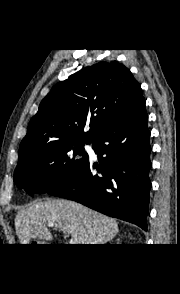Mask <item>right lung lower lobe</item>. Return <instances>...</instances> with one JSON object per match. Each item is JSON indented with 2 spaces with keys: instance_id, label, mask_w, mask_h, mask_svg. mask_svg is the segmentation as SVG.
Masks as SVG:
<instances>
[{
  "instance_id": "right-lung-lower-lobe-1",
  "label": "right lung lower lobe",
  "mask_w": 180,
  "mask_h": 294,
  "mask_svg": "<svg viewBox=\"0 0 180 294\" xmlns=\"http://www.w3.org/2000/svg\"><path fill=\"white\" fill-rule=\"evenodd\" d=\"M145 101L92 141L99 165L89 161L64 184L48 192L77 201L147 230L151 168ZM98 173H92L93 170Z\"/></svg>"
}]
</instances>
